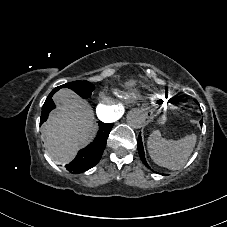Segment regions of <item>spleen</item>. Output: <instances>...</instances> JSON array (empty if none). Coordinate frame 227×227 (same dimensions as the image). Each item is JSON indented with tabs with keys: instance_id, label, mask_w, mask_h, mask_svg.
Masks as SVG:
<instances>
[{
	"instance_id": "spleen-1",
	"label": "spleen",
	"mask_w": 227,
	"mask_h": 227,
	"mask_svg": "<svg viewBox=\"0 0 227 227\" xmlns=\"http://www.w3.org/2000/svg\"><path fill=\"white\" fill-rule=\"evenodd\" d=\"M195 142V136L192 134L180 140H173L165 138L159 129H155L149 135L147 147L155 164L170 170H178L185 165Z\"/></svg>"
}]
</instances>
